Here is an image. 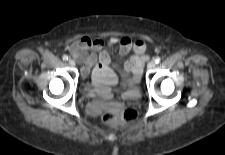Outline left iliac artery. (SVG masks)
<instances>
[{
  "mask_svg": "<svg viewBox=\"0 0 225 155\" xmlns=\"http://www.w3.org/2000/svg\"><path fill=\"white\" fill-rule=\"evenodd\" d=\"M161 61V58L160 57H157L156 59H155V62L156 63H159Z\"/></svg>",
  "mask_w": 225,
  "mask_h": 155,
  "instance_id": "1",
  "label": "left iliac artery"
}]
</instances>
